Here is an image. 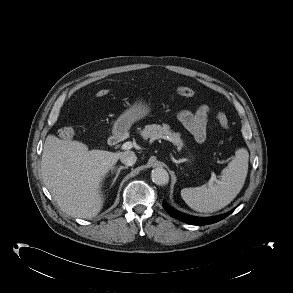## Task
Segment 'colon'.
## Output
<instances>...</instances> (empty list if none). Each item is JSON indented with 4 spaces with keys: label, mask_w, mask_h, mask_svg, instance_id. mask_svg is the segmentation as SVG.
<instances>
[{
    "label": "colon",
    "mask_w": 293,
    "mask_h": 293,
    "mask_svg": "<svg viewBox=\"0 0 293 293\" xmlns=\"http://www.w3.org/2000/svg\"><path fill=\"white\" fill-rule=\"evenodd\" d=\"M176 92L178 95H180L182 97H192L195 94L194 90H192L189 87H184V86L178 87ZM108 93H109V90L101 89L97 92V96L103 97V96H106ZM216 117H217V120H218L220 126L223 129L229 128V119L223 111H218L216 114ZM58 134L62 139L68 140L74 136L75 129L71 126H64L59 129Z\"/></svg>",
    "instance_id": "obj_1"
}]
</instances>
